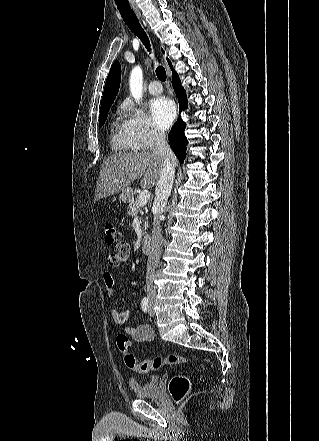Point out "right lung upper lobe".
Returning <instances> with one entry per match:
<instances>
[{
	"label": "right lung upper lobe",
	"instance_id": "1",
	"mask_svg": "<svg viewBox=\"0 0 319 441\" xmlns=\"http://www.w3.org/2000/svg\"><path fill=\"white\" fill-rule=\"evenodd\" d=\"M170 67L172 68L171 62L169 59H167ZM173 70V68H172ZM120 80H121V66L120 63L115 62L110 69V72L108 74L104 93L102 97V105L101 109L106 107H111L112 103L114 102V99L118 93L119 86H120Z\"/></svg>",
	"mask_w": 319,
	"mask_h": 441
}]
</instances>
